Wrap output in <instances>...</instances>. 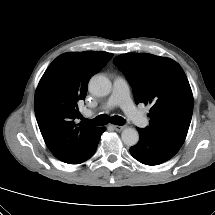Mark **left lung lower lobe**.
I'll use <instances>...</instances> for the list:
<instances>
[{
	"label": "left lung lower lobe",
	"instance_id": "0a47b994",
	"mask_svg": "<svg viewBox=\"0 0 215 215\" xmlns=\"http://www.w3.org/2000/svg\"><path fill=\"white\" fill-rule=\"evenodd\" d=\"M137 130L139 142L130 148V153L143 164L159 165L171 159L180 149L147 128Z\"/></svg>",
	"mask_w": 215,
	"mask_h": 215
}]
</instances>
